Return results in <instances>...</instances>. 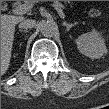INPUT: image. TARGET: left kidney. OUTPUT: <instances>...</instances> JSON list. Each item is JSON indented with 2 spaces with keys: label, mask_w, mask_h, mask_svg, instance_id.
I'll return each mask as SVG.
<instances>
[{
  "label": "left kidney",
  "mask_w": 109,
  "mask_h": 109,
  "mask_svg": "<svg viewBox=\"0 0 109 109\" xmlns=\"http://www.w3.org/2000/svg\"><path fill=\"white\" fill-rule=\"evenodd\" d=\"M76 44L82 54L92 59H98L107 52L105 41L96 30L82 34Z\"/></svg>",
  "instance_id": "1"
}]
</instances>
